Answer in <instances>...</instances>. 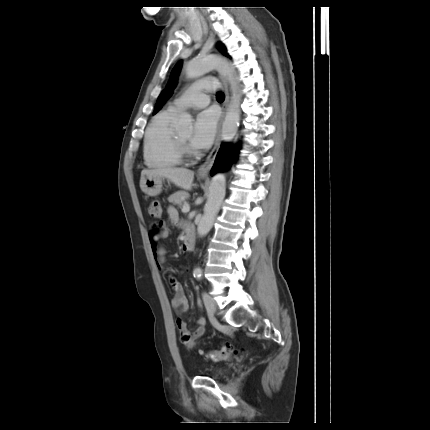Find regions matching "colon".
Here are the masks:
<instances>
[{
	"label": "colon",
	"mask_w": 430,
	"mask_h": 430,
	"mask_svg": "<svg viewBox=\"0 0 430 430\" xmlns=\"http://www.w3.org/2000/svg\"><path fill=\"white\" fill-rule=\"evenodd\" d=\"M149 214L151 217L159 219L162 216V208L159 202L154 201L149 205ZM238 350L231 344H226L220 349L212 350L206 353V357L212 361H225L236 356Z\"/></svg>",
	"instance_id": "1"
}]
</instances>
